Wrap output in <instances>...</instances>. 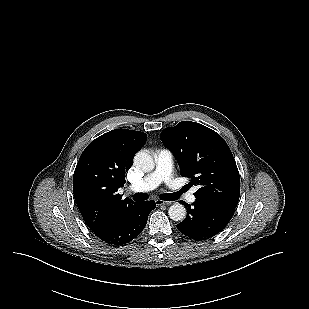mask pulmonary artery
I'll return each mask as SVG.
<instances>
[{
    "instance_id": "1",
    "label": "pulmonary artery",
    "mask_w": 309,
    "mask_h": 309,
    "mask_svg": "<svg viewBox=\"0 0 309 309\" xmlns=\"http://www.w3.org/2000/svg\"><path fill=\"white\" fill-rule=\"evenodd\" d=\"M173 154L167 149H161L157 152L156 166L154 170L148 173L143 179L134 183L131 189L136 192H147L155 189L161 183L170 184L172 182ZM195 190L187 195V200L195 202Z\"/></svg>"
}]
</instances>
